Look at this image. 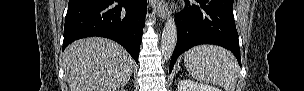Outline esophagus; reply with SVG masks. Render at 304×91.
Here are the masks:
<instances>
[{
  "label": "esophagus",
  "mask_w": 304,
  "mask_h": 91,
  "mask_svg": "<svg viewBox=\"0 0 304 91\" xmlns=\"http://www.w3.org/2000/svg\"><path fill=\"white\" fill-rule=\"evenodd\" d=\"M152 5L155 8L157 16L162 20H165L167 17V6L163 3V1L153 0Z\"/></svg>",
  "instance_id": "1"
}]
</instances>
